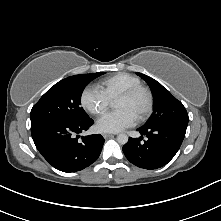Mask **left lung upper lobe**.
Masks as SVG:
<instances>
[{"instance_id":"obj_1","label":"left lung upper lobe","mask_w":221,"mask_h":221,"mask_svg":"<svg viewBox=\"0 0 221 221\" xmlns=\"http://www.w3.org/2000/svg\"><path fill=\"white\" fill-rule=\"evenodd\" d=\"M137 74L147 82L154 98L153 113L143 127H153L171 122L188 124V113L180 101L155 79L142 73Z\"/></svg>"}]
</instances>
